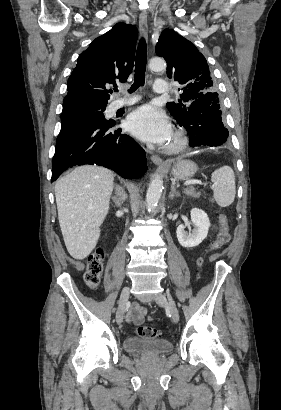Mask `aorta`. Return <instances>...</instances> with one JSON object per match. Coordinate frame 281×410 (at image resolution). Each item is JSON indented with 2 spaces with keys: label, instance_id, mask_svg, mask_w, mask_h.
<instances>
[{
  "label": "aorta",
  "instance_id": "obj_1",
  "mask_svg": "<svg viewBox=\"0 0 281 410\" xmlns=\"http://www.w3.org/2000/svg\"><path fill=\"white\" fill-rule=\"evenodd\" d=\"M149 67L153 71H164L166 69V62L163 59H152ZM163 190V180L160 176H156L149 184L146 194V205L149 211L155 209L157 206Z\"/></svg>",
  "mask_w": 281,
  "mask_h": 410
}]
</instances>
